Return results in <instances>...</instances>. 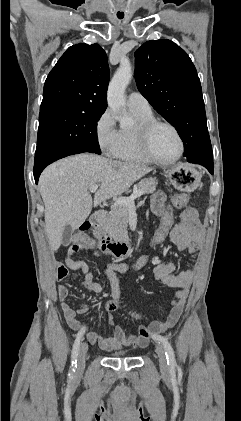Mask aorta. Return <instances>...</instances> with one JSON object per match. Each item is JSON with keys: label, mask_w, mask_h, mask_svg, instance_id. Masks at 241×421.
Here are the masks:
<instances>
[{"label": "aorta", "mask_w": 241, "mask_h": 421, "mask_svg": "<svg viewBox=\"0 0 241 421\" xmlns=\"http://www.w3.org/2000/svg\"><path fill=\"white\" fill-rule=\"evenodd\" d=\"M132 68L127 60H122L120 67L115 72L108 87L107 100L110 109L115 112H121L125 105L124 92L132 78ZM119 122L121 127H126L131 124V119L128 117H120Z\"/></svg>", "instance_id": "762f6f07"}]
</instances>
